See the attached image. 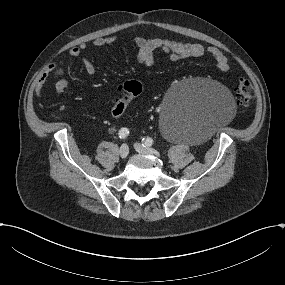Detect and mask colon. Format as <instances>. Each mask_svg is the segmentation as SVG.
<instances>
[{
	"label": "colon",
	"mask_w": 285,
	"mask_h": 285,
	"mask_svg": "<svg viewBox=\"0 0 285 285\" xmlns=\"http://www.w3.org/2000/svg\"><path fill=\"white\" fill-rule=\"evenodd\" d=\"M122 97L112 108V115L120 117L126 110L130 101L142 92V85L137 80H128L122 85ZM254 97V88L248 80H242L235 89V100L240 106H246Z\"/></svg>",
	"instance_id": "1"
}]
</instances>
